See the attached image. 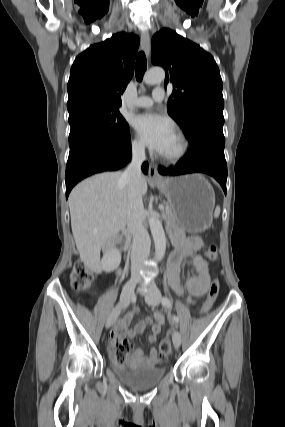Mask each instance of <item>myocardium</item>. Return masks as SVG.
Here are the masks:
<instances>
[{
    "mask_svg": "<svg viewBox=\"0 0 285 427\" xmlns=\"http://www.w3.org/2000/svg\"><path fill=\"white\" fill-rule=\"evenodd\" d=\"M179 141V148L178 150L170 155H159V159L165 163H175L180 161L188 152L189 150V141L185 134L180 131L176 130L174 133Z\"/></svg>",
    "mask_w": 285,
    "mask_h": 427,
    "instance_id": "obj_1",
    "label": "myocardium"
}]
</instances>
